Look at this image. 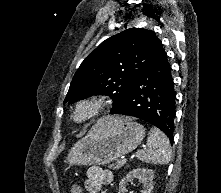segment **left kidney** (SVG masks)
Masks as SVG:
<instances>
[{
  "label": "left kidney",
  "mask_w": 221,
  "mask_h": 193,
  "mask_svg": "<svg viewBox=\"0 0 221 193\" xmlns=\"http://www.w3.org/2000/svg\"><path fill=\"white\" fill-rule=\"evenodd\" d=\"M135 178L139 179L143 184L142 193H151L153 189L154 171L146 168H137L129 172L126 177L120 181L118 193H125L127 191L126 186Z\"/></svg>",
  "instance_id": "5707ae66"
}]
</instances>
